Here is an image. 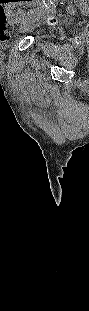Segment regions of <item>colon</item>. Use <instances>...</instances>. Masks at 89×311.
I'll return each mask as SVG.
<instances>
[{
	"mask_svg": "<svg viewBox=\"0 0 89 311\" xmlns=\"http://www.w3.org/2000/svg\"><path fill=\"white\" fill-rule=\"evenodd\" d=\"M3 19L5 20V16H3ZM20 27H21L20 24H17V25L14 26L15 29H19Z\"/></svg>",
	"mask_w": 89,
	"mask_h": 311,
	"instance_id": "obj_1",
	"label": "colon"
}]
</instances>
